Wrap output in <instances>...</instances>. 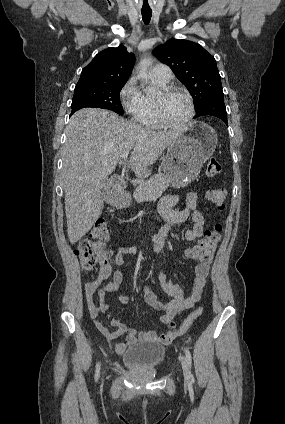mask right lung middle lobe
<instances>
[{"mask_svg":"<svg viewBox=\"0 0 285 424\" xmlns=\"http://www.w3.org/2000/svg\"><path fill=\"white\" fill-rule=\"evenodd\" d=\"M125 83L76 86L71 107L72 109L103 108L123 115L119 95Z\"/></svg>","mask_w":285,"mask_h":424,"instance_id":"1","label":"right lung middle lobe"}]
</instances>
